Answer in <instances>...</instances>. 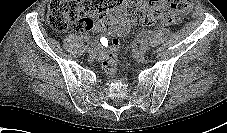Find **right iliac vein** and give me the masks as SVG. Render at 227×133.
<instances>
[{"mask_svg": "<svg viewBox=\"0 0 227 133\" xmlns=\"http://www.w3.org/2000/svg\"><path fill=\"white\" fill-rule=\"evenodd\" d=\"M90 56H96L98 54V49L94 46L88 50Z\"/></svg>", "mask_w": 227, "mask_h": 133, "instance_id": "obj_1", "label": "right iliac vein"}]
</instances>
